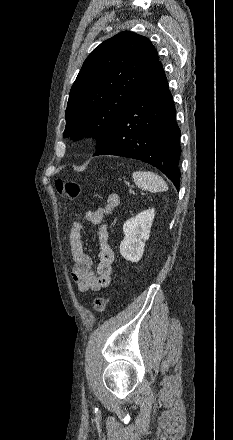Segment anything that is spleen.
I'll return each instance as SVG.
<instances>
[{
    "instance_id": "3e777b00",
    "label": "spleen",
    "mask_w": 233,
    "mask_h": 440,
    "mask_svg": "<svg viewBox=\"0 0 233 440\" xmlns=\"http://www.w3.org/2000/svg\"><path fill=\"white\" fill-rule=\"evenodd\" d=\"M132 178L140 189L153 193L168 190V185L163 178L151 171H135L132 174Z\"/></svg>"
}]
</instances>
